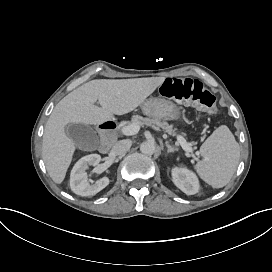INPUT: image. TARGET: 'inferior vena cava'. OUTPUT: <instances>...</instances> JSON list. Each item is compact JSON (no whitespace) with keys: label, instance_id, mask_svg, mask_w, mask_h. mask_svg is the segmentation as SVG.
Segmentation results:
<instances>
[{"label":"inferior vena cava","instance_id":"602c4592","mask_svg":"<svg viewBox=\"0 0 272 272\" xmlns=\"http://www.w3.org/2000/svg\"><path fill=\"white\" fill-rule=\"evenodd\" d=\"M131 143L127 140L118 141L112 148V153L115 155L125 154L130 149Z\"/></svg>","mask_w":272,"mask_h":272}]
</instances>
